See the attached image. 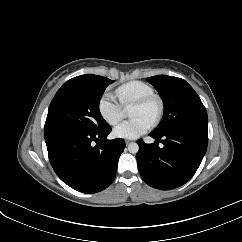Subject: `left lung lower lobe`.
I'll use <instances>...</instances> for the list:
<instances>
[{
	"instance_id": "1",
	"label": "left lung lower lobe",
	"mask_w": 242,
	"mask_h": 242,
	"mask_svg": "<svg viewBox=\"0 0 242 242\" xmlns=\"http://www.w3.org/2000/svg\"><path fill=\"white\" fill-rule=\"evenodd\" d=\"M154 144L137 141V165L142 179L151 187L169 190L189 181L197 171L207 149L205 125H188L157 135ZM164 144L163 148L158 143Z\"/></svg>"
}]
</instances>
